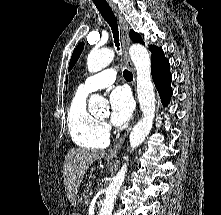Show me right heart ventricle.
I'll use <instances>...</instances> for the list:
<instances>
[{
	"mask_svg": "<svg viewBox=\"0 0 221 215\" xmlns=\"http://www.w3.org/2000/svg\"><path fill=\"white\" fill-rule=\"evenodd\" d=\"M88 93L79 89L73 95L67 111V128L72 141L87 149L104 148L108 143L107 134L102 130V123L87 109Z\"/></svg>",
	"mask_w": 221,
	"mask_h": 215,
	"instance_id": "obj_1",
	"label": "right heart ventricle"
}]
</instances>
